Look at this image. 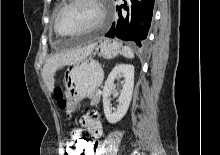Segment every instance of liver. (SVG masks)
<instances>
[{
    "instance_id": "6515ba94",
    "label": "liver",
    "mask_w": 220,
    "mask_h": 155,
    "mask_svg": "<svg viewBox=\"0 0 220 155\" xmlns=\"http://www.w3.org/2000/svg\"><path fill=\"white\" fill-rule=\"evenodd\" d=\"M93 49L94 46L90 45L84 48H76L62 51L51 56L45 62L42 70L43 80L49 92H53L54 90V76L59 69L63 68L66 65L70 66L81 62L82 60L87 58V56H89Z\"/></svg>"
}]
</instances>
